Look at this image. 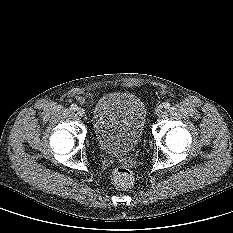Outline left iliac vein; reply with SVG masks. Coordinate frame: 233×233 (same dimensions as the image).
I'll use <instances>...</instances> for the list:
<instances>
[{"instance_id":"1","label":"left iliac vein","mask_w":233,"mask_h":233,"mask_svg":"<svg viewBox=\"0 0 233 233\" xmlns=\"http://www.w3.org/2000/svg\"><path fill=\"white\" fill-rule=\"evenodd\" d=\"M162 111H163V106H162V105H158V106L155 108V113H156V114H160Z\"/></svg>"}]
</instances>
